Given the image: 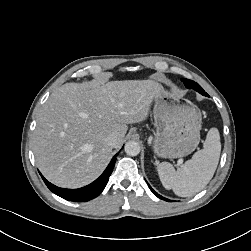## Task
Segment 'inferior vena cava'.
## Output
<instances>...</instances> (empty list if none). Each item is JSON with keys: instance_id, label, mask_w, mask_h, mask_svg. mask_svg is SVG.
<instances>
[{"instance_id": "inferior-vena-cava-1", "label": "inferior vena cava", "mask_w": 251, "mask_h": 251, "mask_svg": "<svg viewBox=\"0 0 251 251\" xmlns=\"http://www.w3.org/2000/svg\"><path fill=\"white\" fill-rule=\"evenodd\" d=\"M105 143L110 147H115L117 144V135L116 134H110L106 137Z\"/></svg>"}]
</instances>
